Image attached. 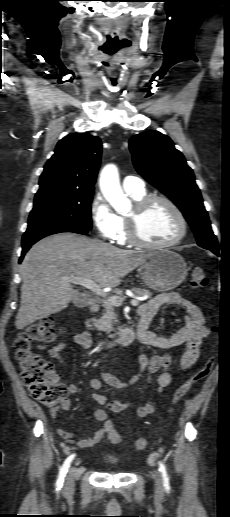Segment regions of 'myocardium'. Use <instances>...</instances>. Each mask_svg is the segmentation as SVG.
Returning a JSON list of instances; mask_svg holds the SVG:
<instances>
[{
	"mask_svg": "<svg viewBox=\"0 0 230 517\" xmlns=\"http://www.w3.org/2000/svg\"><path fill=\"white\" fill-rule=\"evenodd\" d=\"M157 201L163 202L167 206H169V208L174 212L180 223L179 233L172 240L164 243H152L145 240L142 237L139 229V221L141 216L152 203ZM126 224L128 241L135 246L146 249L170 248L178 244L185 238L188 229L187 220L180 208L170 198L158 194L147 195L142 199L136 201L133 208V212L126 217Z\"/></svg>",
	"mask_w": 230,
	"mask_h": 517,
	"instance_id": "1",
	"label": "myocardium"
}]
</instances>
